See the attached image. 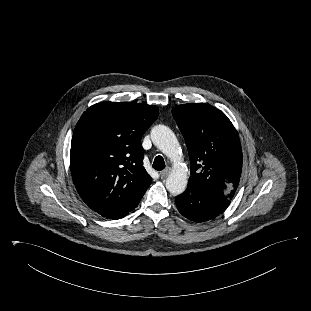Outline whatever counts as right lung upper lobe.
Wrapping results in <instances>:
<instances>
[{"label": "right lung upper lobe", "mask_w": 311, "mask_h": 311, "mask_svg": "<svg viewBox=\"0 0 311 311\" xmlns=\"http://www.w3.org/2000/svg\"><path fill=\"white\" fill-rule=\"evenodd\" d=\"M158 113L155 105L103 102L82 114L70 169L77 192L95 212L125 213L143 197L152 179L143 166L141 138Z\"/></svg>", "instance_id": "obj_1"}]
</instances>
